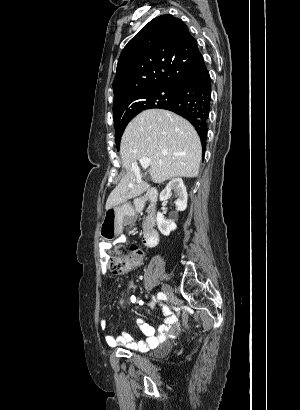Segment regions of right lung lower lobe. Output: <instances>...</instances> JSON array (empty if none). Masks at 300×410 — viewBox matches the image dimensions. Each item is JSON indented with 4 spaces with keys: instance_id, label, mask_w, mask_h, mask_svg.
<instances>
[{
    "instance_id": "obj_1",
    "label": "right lung lower lobe",
    "mask_w": 300,
    "mask_h": 410,
    "mask_svg": "<svg viewBox=\"0 0 300 410\" xmlns=\"http://www.w3.org/2000/svg\"><path fill=\"white\" fill-rule=\"evenodd\" d=\"M211 102V80L202 61L180 84L177 94L162 109L173 111L187 119L200 136L203 153L206 147L207 120Z\"/></svg>"
}]
</instances>
